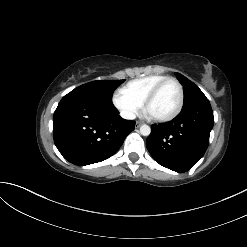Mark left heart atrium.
<instances>
[{"mask_svg": "<svg viewBox=\"0 0 247 247\" xmlns=\"http://www.w3.org/2000/svg\"><path fill=\"white\" fill-rule=\"evenodd\" d=\"M147 115H148V116H151L148 112H147Z\"/></svg>", "mask_w": 247, "mask_h": 247, "instance_id": "39dd6f15", "label": "left heart atrium"}]
</instances>
